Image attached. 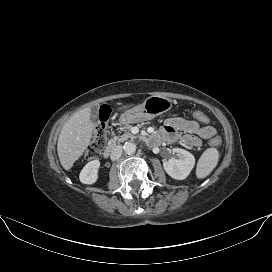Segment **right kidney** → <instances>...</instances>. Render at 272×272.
Listing matches in <instances>:
<instances>
[{
	"instance_id": "ca27d5eb",
	"label": "right kidney",
	"mask_w": 272,
	"mask_h": 272,
	"mask_svg": "<svg viewBox=\"0 0 272 272\" xmlns=\"http://www.w3.org/2000/svg\"><path fill=\"white\" fill-rule=\"evenodd\" d=\"M99 160H92L81 170L79 179L83 184H94L98 179Z\"/></svg>"
}]
</instances>
